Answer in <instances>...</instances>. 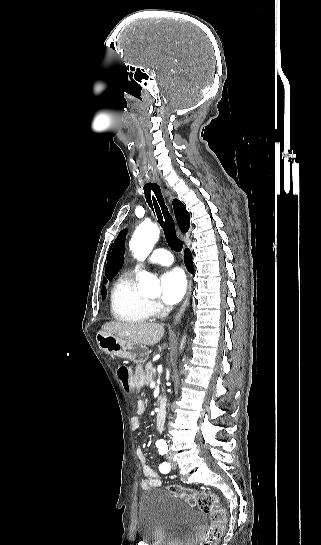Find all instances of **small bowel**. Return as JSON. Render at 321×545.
I'll list each match as a JSON object with an SVG mask.
<instances>
[{
	"mask_svg": "<svg viewBox=\"0 0 321 545\" xmlns=\"http://www.w3.org/2000/svg\"><path fill=\"white\" fill-rule=\"evenodd\" d=\"M142 379L141 375L137 374L135 378V385L138 387L141 385ZM146 405L142 400L137 401V416L132 418V427L138 429L140 427V418L139 416L144 413ZM138 459L141 463L142 473L145 479L141 483L143 489H150L154 487H160L162 485L161 475L157 471L153 470L146 462V457L144 452L139 449L137 451Z\"/></svg>",
	"mask_w": 321,
	"mask_h": 545,
	"instance_id": "1",
	"label": "small bowel"
}]
</instances>
